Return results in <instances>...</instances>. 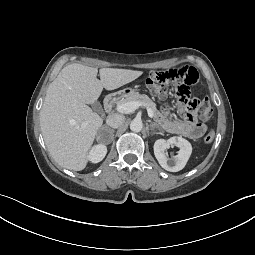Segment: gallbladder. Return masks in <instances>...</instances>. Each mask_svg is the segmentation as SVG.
Masks as SVG:
<instances>
[{"instance_id":"bac80fb5","label":"gallbladder","mask_w":255,"mask_h":255,"mask_svg":"<svg viewBox=\"0 0 255 255\" xmlns=\"http://www.w3.org/2000/svg\"><path fill=\"white\" fill-rule=\"evenodd\" d=\"M91 106H92V109L95 110L96 112H101L102 108H101V104L100 103L95 102Z\"/></svg>"}]
</instances>
